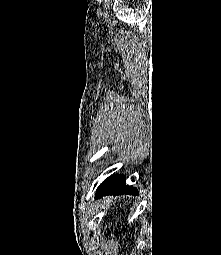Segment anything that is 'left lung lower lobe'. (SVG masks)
Returning a JSON list of instances; mask_svg holds the SVG:
<instances>
[{
	"instance_id": "obj_1",
	"label": "left lung lower lobe",
	"mask_w": 221,
	"mask_h": 255,
	"mask_svg": "<svg viewBox=\"0 0 221 255\" xmlns=\"http://www.w3.org/2000/svg\"><path fill=\"white\" fill-rule=\"evenodd\" d=\"M117 193L137 194L138 192L135 188L125 185V176L115 175L108 177L102 182L97 189L96 197Z\"/></svg>"
}]
</instances>
